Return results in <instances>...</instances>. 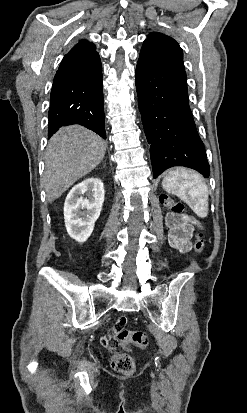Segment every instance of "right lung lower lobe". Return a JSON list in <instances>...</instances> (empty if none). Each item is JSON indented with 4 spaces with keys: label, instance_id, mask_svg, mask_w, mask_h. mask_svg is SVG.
Here are the masks:
<instances>
[{
    "label": "right lung lower lobe",
    "instance_id": "98d812e1",
    "mask_svg": "<svg viewBox=\"0 0 247 413\" xmlns=\"http://www.w3.org/2000/svg\"><path fill=\"white\" fill-rule=\"evenodd\" d=\"M80 124L106 139L101 62L59 68L50 94L48 138L62 126Z\"/></svg>",
    "mask_w": 247,
    "mask_h": 413
}]
</instances>
